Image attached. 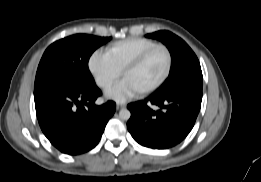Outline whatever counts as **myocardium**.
<instances>
[{
  "instance_id": "obj_1",
  "label": "myocardium",
  "mask_w": 261,
  "mask_h": 182,
  "mask_svg": "<svg viewBox=\"0 0 261 182\" xmlns=\"http://www.w3.org/2000/svg\"><path fill=\"white\" fill-rule=\"evenodd\" d=\"M161 49L165 52L166 57H167V65H166V69L164 74L162 75V77L152 86L146 88L145 90L141 91L140 94L142 95H147L150 94L154 91H156L157 89H159L168 79V77L170 76L171 70H172V66H173V56L172 53L170 51V49L164 45V44H156L148 49H146L145 51H143L142 53H140L134 60H132L123 70H122V77L124 78V76L138 68L144 61L145 59L154 51Z\"/></svg>"
}]
</instances>
